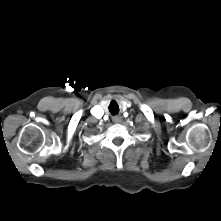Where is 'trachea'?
<instances>
[{"label": "trachea", "mask_w": 221, "mask_h": 221, "mask_svg": "<svg viewBox=\"0 0 221 221\" xmlns=\"http://www.w3.org/2000/svg\"><path fill=\"white\" fill-rule=\"evenodd\" d=\"M109 111L112 115H115L119 112V106L116 102H112L109 106Z\"/></svg>", "instance_id": "trachea-1"}]
</instances>
